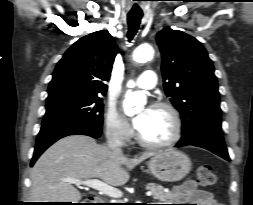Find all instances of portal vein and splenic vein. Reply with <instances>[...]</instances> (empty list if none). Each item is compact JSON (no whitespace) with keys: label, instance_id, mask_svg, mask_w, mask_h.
<instances>
[{"label":"portal vein and splenic vein","instance_id":"18ae733b","mask_svg":"<svg viewBox=\"0 0 253 205\" xmlns=\"http://www.w3.org/2000/svg\"><path fill=\"white\" fill-rule=\"evenodd\" d=\"M64 181L71 184H75L77 186L83 185V186L90 187L112 198H120L123 195V193L119 189L112 187L98 179L78 180V179H73V178H67ZM146 195L151 196L152 192L147 191Z\"/></svg>","mask_w":253,"mask_h":205}]
</instances>
